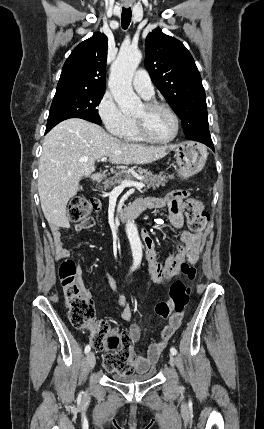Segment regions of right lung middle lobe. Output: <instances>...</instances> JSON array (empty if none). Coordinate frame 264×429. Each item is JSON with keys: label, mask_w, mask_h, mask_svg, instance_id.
Returning a JSON list of instances; mask_svg holds the SVG:
<instances>
[{"label": "right lung middle lobe", "mask_w": 264, "mask_h": 429, "mask_svg": "<svg viewBox=\"0 0 264 429\" xmlns=\"http://www.w3.org/2000/svg\"><path fill=\"white\" fill-rule=\"evenodd\" d=\"M104 91L64 89L56 91L46 126V133L55 125L69 118H81L101 124L96 107Z\"/></svg>", "instance_id": "obj_1"}]
</instances>
